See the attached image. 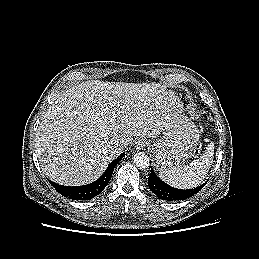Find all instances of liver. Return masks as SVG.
Returning a JSON list of instances; mask_svg holds the SVG:
<instances>
[{
	"label": "liver",
	"mask_w": 259,
	"mask_h": 259,
	"mask_svg": "<svg viewBox=\"0 0 259 259\" xmlns=\"http://www.w3.org/2000/svg\"><path fill=\"white\" fill-rule=\"evenodd\" d=\"M168 92L157 83L86 81L63 91L41 118L36 153L45 175L66 186L98 179L137 136L156 138L167 123Z\"/></svg>",
	"instance_id": "1"
}]
</instances>
